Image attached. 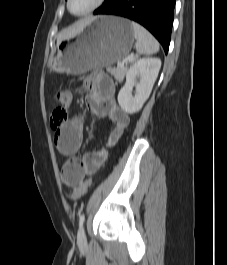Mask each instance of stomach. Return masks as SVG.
<instances>
[{
    "instance_id": "1",
    "label": "stomach",
    "mask_w": 227,
    "mask_h": 265,
    "mask_svg": "<svg viewBox=\"0 0 227 265\" xmlns=\"http://www.w3.org/2000/svg\"><path fill=\"white\" fill-rule=\"evenodd\" d=\"M133 42L134 31L129 20L99 16L77 36L63 40L48 67L53 72L70 75L101 69L124 59Z\"/></svg>"
}]
</instances>
